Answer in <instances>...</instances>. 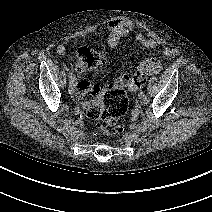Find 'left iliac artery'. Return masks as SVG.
Listing matches in <instances>:
<instances>
[{"label": "left iliac artery", "instance_id": "left-iliac-artery-1", "mask_svg": "<svg viewBox=\"0 0 212 212\" xmlns=\"http://www.w3.org/2000/svg\"><path fill=\"white\" fill-rule=\"evenodd\" d=\"M144 101H145V104H148L150 102V97L148 95H145Z\"/></svg>", "mask_w": 212, "mask_h": 212}]
</instances>
